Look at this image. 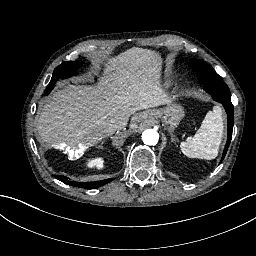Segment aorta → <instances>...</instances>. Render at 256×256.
<instances>
[{"label":"aorta","instance_id":"762f6f07","mask_svg":"<svg viewBox=\"0 0 256 256\" xmlns=\"http://www.w3.org/2000/svg\"><path fill=\"white\" fill-rule=\"evenodd\" d=\"M142 140L146 145H156L159 140V133L155 129H146L142 133Z\"/></svg>","mask_w":256,"mask_h":256}]
</instances>
